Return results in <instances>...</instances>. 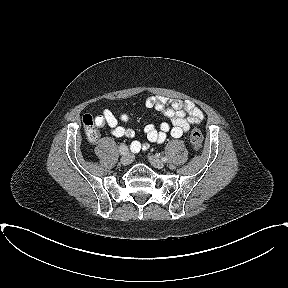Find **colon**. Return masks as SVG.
Returning <instances> with one entry per match:
<instances>
[{
  "instance_id": "obj_1",
  "label": "colon",
  "mask_w": 288,
  "mask_h": 288,
  "mask_svg": "<svg viewBox=\"0 0 288 288\" xmlns=\"http://www.w3.org/2000/svg\"><path fill=\"white\" fill-rule=\"evenodd\" d=\"M85 133L89 141L95 142L99 138V132L96 128L95 121L92 116L84 115L82 118ZM190 142L192 147L198 151L202 147L203 136L199 129L194 128L190 134Z\"/></svg>"
}]
</instances>
